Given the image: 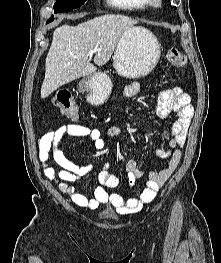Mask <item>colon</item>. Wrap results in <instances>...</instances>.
I'll return each mask as SVG.
<instances>
[{
	"label": "colon",
	"mask_w": 221,
	"mask_h": 263,
	"mask_svg": "<svg viewBox=\"0 0 221 263\" xmlns=\"http://www.w3.org/2000/svg\"><path fill=\"white\" fill-rule=\"evenodd\" d=\"M167 60L174 67H182L186 63L184 54L178 48H171L167 53ZM53 104L69 119H77L79 109L75 100L70 94H56L53 98Z\"/></svg>",
	"instance_id": "obj_1"
}]
</instances>
